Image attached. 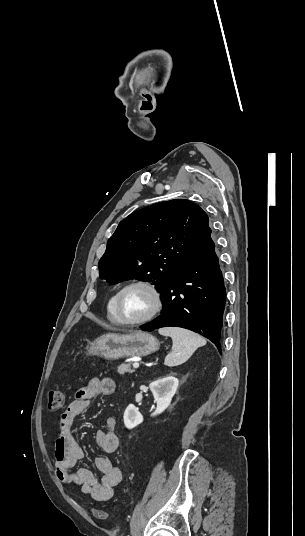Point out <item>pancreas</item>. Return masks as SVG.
Wrapping results in <instances>:
<instances>
[{
	"instance_id": "obj_1",
	"label": "pancreas",
	"mask_w": 305,
	"mask_h": 536,
	"mask_svg": "<svg viewBox=\"0 0 305 536\" xmlns=\"http://www.w3.org/2000/svg\"><path fill=\"white\" fill-rule=\"evenodd\" d=\"M131 364L132 362H129V364H121V366H119L118 368V374H121V376H123V374H126V372H129V374L135 372V370H131Z\"/></svg>"
}]
</instances>
